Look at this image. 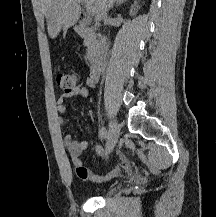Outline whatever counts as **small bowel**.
<instances>
[{
    "instance_id": "obj_1",
    "label": "small bowel",
    "mask_w": 216,
    "mask_h": 217,
    "mask_svg": "<svg viewBox=\"0 0 216 217\" xmlns=\"http://www.w3.org/2000/svg\"><path fill=\"white\" fill-rule=\"evenodd\" d=\"M99 76H100V72L96 75L91 74L89 77L86 78L85 85H78L74 89L66 91L62 95H60L56 100V105L60 115H63L65 113L66 99L74 96H79L83 98L87 97L88 87H94L98 82ZM58 121L61 125L64 124V119L62 116L59 117ZM64 144L67 153L69 155V158L75 167L77 177L81 181H86V182L106 181L115 177L120 171V166L124 160L123 154H119L120 164L117 168L107 173L106 175H97L93 173L89 168L85 167L81 159V155L83 151H85L89 146L87 141H78L74 139L70 134L65 133ZM95 151L99 155H103L105 153L104 149L100 145L95 146Z\"/></svg>"
}]
</instances>
